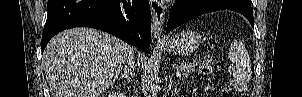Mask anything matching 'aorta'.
I'll return each instance as SVG.
<instances>
[{
  "label": "aorta",
  "mask_w": 302,
  "mask_h": 97,
  "mask_svg": "<svg viewBox=\"0 0 302 97\" xmlns=\"http://www.w3.org/2000/svg\"><path fill=\"white\" fill-rule=\"evenodd\" d=\"M157 86L156 85H151V94L149 95V97H157Z\"/></svg>",
  "instance_id": "762f6f07"
}]
</instances>
